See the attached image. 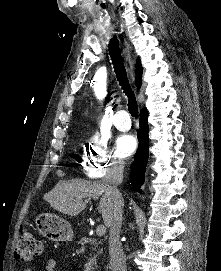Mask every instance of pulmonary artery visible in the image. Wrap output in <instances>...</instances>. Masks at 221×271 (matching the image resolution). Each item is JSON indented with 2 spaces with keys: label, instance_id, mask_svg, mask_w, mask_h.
Returning a JSON list of instances; mask_svg holds the SVG:
<instances>
[{
  "label": "pulmonary artery",
  "instance_id": "pulmonary-artery-1",
  "mask_svg": "<svg viewBox=\"0 0 221 271\" xmlns=\"http://www.w3.org/2000/svg\"><path fill=\"white\" fill-rule=\"evenodd\" d=\"M111 116L114 117L113 126H117L120 131L129 130V127L127 126L130 125L132 119L131 117H128V112H112Z\"/></svg>",
  "mask_w": 221,
  "mask_h": 271
}]
</instances>
